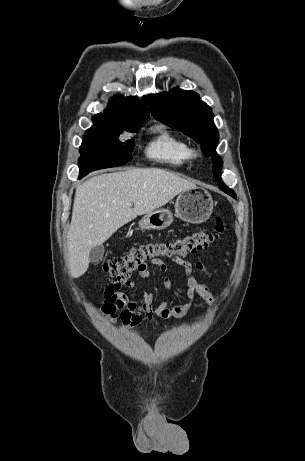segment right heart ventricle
Returning a JSON list of instances; mask_svg holds the SVG:
<instances>
[{"label":"right heart ventricle","mask_w":305,"mask_h":461,"mask_svg":"<svg viewBox=\"0 0 305 461\" xmlns=\"http://www.w3.org/2000/svg\"><path fill=\"white\" fill-rule=\"evenodd\" d=\"M146 154L171 166L179 167L192 159L193 150L186 140L159 127L156 136L147 145Z\"/></svg>","instance_id":"1"}]
</instances>
